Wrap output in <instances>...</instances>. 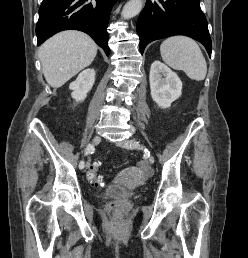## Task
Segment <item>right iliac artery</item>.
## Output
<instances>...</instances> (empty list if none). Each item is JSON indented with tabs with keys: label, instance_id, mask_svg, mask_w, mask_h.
I'll use <instances>...</instances> for the list:
<instances>
[{
	"label": "right iliac artery",
	"instance_id": "right-iliac-artery-1",
	"mask_svg": "<svg viewBox=\"0 0 248 258\" xmlns=\"http://www.w3.org/2000/svg\"><path fill=\"white\" fill-rule=\"evenodd\" d=\"M93 151H94V146L92 144H88L86 149H85V155L91 154V153H93ZM79 168L80 169L84 168V161L83 160L80 161Z\"/></svg>",
	"mask_w": 248,
	"mask_h": 258
}]
</instances>
